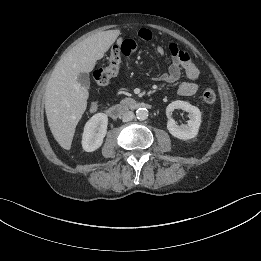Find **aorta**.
I'll return each instance as SVG.
<instances>
[{
  "label": "aorta",
  "mask_w": 261,
  "mask_h": 261,
  "mask_svg": "<svg viewBox=\"0 0 261 261\" xmlns=\"http://www.w3.org/2000/svg\"><path fill=\"white\" fill-rule=\"evenodd\" d=\"M136 117L139 120H145L148 118V110L146 108H138L136 110Z\"/></svg>",
  "instance_id": "762f6f07"
}]
</instances>
